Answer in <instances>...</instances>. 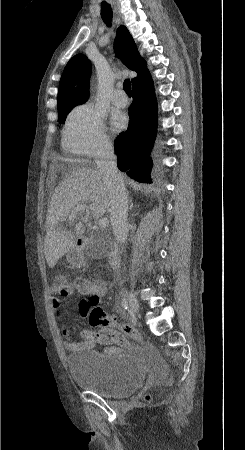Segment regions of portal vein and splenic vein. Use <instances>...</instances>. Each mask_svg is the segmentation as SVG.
<instances>
[{
  "label": "portal vein and splenic vein",
  "instance_id": "18ae733b",
  "mask_svg": "<svg viewBox=\"0 0 245 450\" xmlns=\"http://www.w3.org/2000/svg\"><path fill=\"white\" fill-rule=\"evenodd\" d=\"M83 212L89 213V208H88L87 206H85V205H79V206H77V207L75 208V210L69 215V220L72 221V220L75 218V216H76L77 213H83ZM98 225H99L101 228H106V227H108V225H109V221H108L107 218H101V219L98 221Z\"/></svg>",
  "mask_w": 245,
  "mask_h": 450
}]
</instances>
